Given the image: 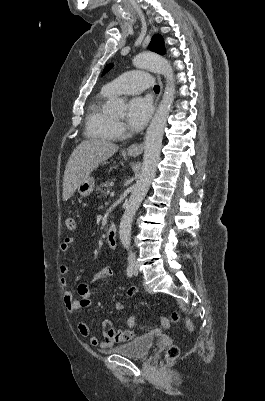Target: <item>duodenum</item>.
I'll list each match as a JSON object with an SVG mask.
<instances>
[{"mask_svg":"<svg viewBox=\"0 0 265 401\" xmlns=\"http://www.w3.org/2000/svg\"><path fill=\"white\" fill-rule=\"evenodd\" d=\"M106 241L111 249H115L117 246V228L115 225H110L106 234Z\"/></svg>","mask_w":265,"mask_h":401,"instance_id":"duodenum-1","label":"duodenum"}]
</instances>
